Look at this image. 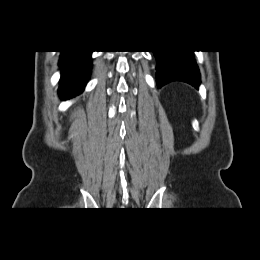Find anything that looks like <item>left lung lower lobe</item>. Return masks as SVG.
I'll list each match as a JSON object with an SVG mask.
<instances>
[{"label": "left lung lower lobe", "mask_w": 260, "mask_h": 260, "mask_svg": "<svg viewBox=\"0 0 260 260\" xmlns=\"http://www.w3.org/2000/svg\"><path fill=\"white\" fill-rule=\"evenodd\" d=\"M156 77L158 88L171 81H183L195 88L200 85V73L192 50H158Z\"/></svg>", "instance_id": "0a47b994"}]
</instances>
